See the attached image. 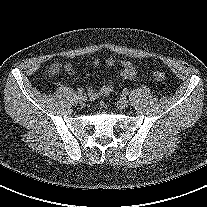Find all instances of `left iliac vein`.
Returning <instances> with one entry per match:
<instances>
[{"label":"left iliac vein","mask_w":207,"mask_h":207,"mask_svg":"<svg viewBox=\"0 0 207 207\" xmlns=\"http://www.w3.org/2000/svg\"><path fill=\"white\" fill-rule=\"evenodd\" d=\"M129 105V101L126 98H121L118 102H117V106L120 109H124Z\"/></svg>","instance_id":"4c4485c4"}]
</instances>
